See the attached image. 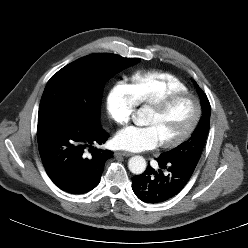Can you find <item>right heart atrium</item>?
Listing matches in <instances>:
<instances>
[{
  "instance_id": "d8ad5b80",
  "label": "right heart atrium",
  "mask_w": 248,
  "mask_h": 248,
  "mask_svg": "<svg viewBox=\"0 0 248 248\" xmlns=\"http://www.w3.org/2000/svg\"><path fill=\"white\" fill-rule=\"evenodd\" d=\"M135 99L125 83H117L110 88L106 96V108L110 118L117 125H126L136 108Z\"/></svg>"
}]
</instances>
